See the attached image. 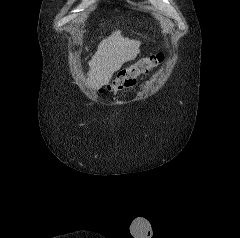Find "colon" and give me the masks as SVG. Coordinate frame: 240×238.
<instances>
[{"label": "colon", "mask_w": 240, "mask_h": 238, "mask_svg": "<svg viewBox=\"0 0 240 238\" xmlns=\"http://www.w3.org/2000/svg\"><path fill=\"white\" fill-rule=\"evenodd\" d=\"M164 60L162 53L143 57L128 67L121 69L105 90L117 92L133 86L139 76L160 65Z\"/></svg>", "instance_id": "1"}]
</instances>
